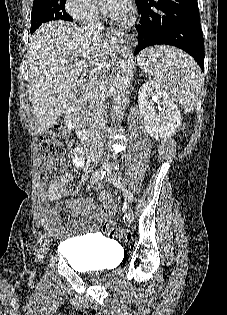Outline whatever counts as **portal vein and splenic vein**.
Returning a JSON list of instances; mask_svg holds the SVG:
<instances>
[{
	"label": "portal vein and splenic vein",
	"instance_id": "18ae733b",
	"mask_svg": "<svg viewBox=\"0 0 227 315\" xmlns=\"http://www.w3.org/2000/svg\"><path fill=\"white\" fill-rule=\"evenodd\" d=\"M76 66H77L79 71H81V72H85L86 71V65H85L84 62L76 63ZM86 91H88L92 95L94 93V91H96V89L93 88L92 86H87L86 87Z\"/></svg>",
	"mask_w": 227,
	"mask_h": 315
}]
</instances>
